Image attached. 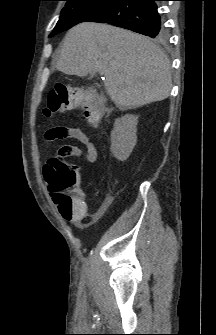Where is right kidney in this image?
I'll use <instances>...</instances> for the list:
<instances>
[{
  "instance_id": "1",
  "label": "right kidney",
  "mask_w": 216,
  "mask_h": 335,
  "mask_svg": "<svg viewBox=\"0 0 216 335\" xmlns=\"http://www.w3.org/2000/svg\"><path fill=\"white\" fill-rule=\"evenodd\" d=\"M138 116L126 114L115 120L111 132V152L119 161H125L137 143Z\"/></svg>"
}]
</instances>
